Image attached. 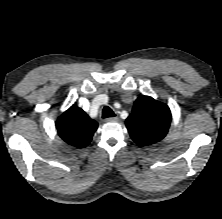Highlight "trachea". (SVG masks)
Returning <instances> with one entry per match:
<instances>
[{"label":"trachea","instance_id":"3493384b","mask_svg":"<svg viewBox=\"0 0 222 219\" xmlns=\"http://www.w3.org/2000/svg\"><path fill=\"white\" fill-rule=\"evenodd\" d=\"M116 116L115 113L112 111V109L108 106H105L103 108V112H102V117L103 118H108V117H114Z\"/></svg>","mask_w":222,"mask_h":219}]
</instances>
